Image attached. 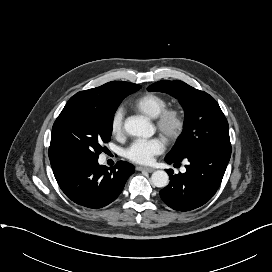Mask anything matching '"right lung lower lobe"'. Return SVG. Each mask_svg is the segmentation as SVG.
<instances>
[{
	"instance_id": "obj_1",
	"label": "right lung lower lobe",
	"mask_w": 272,
	"mask_h": 272,
	"mask_svg": "<svg viewBox=\"0 0 272 272\" xmlns=\"http://www.w3.org/2000/svg\"><path fill=\"white\" fill-rule=\"evenodd\" d=\"M135 168L118 161L108 169L99 165L98 159L68 162L54 170V176L65 195L78 205L101 208L114 201Z\"/></svg>"
}]
</instances>
